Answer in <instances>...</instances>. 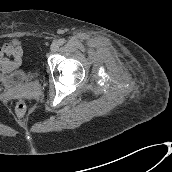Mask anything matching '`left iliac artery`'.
<instances>
[{
    "instance_id": "44dca946",
    "label": "left iliac artery",
    "mask_w": 172,
    "mask_h": 172,
    "mask_svg": "<svg viewBox=\"0 0 172 172\" xmlns=\"http://www.w3.org/2000/svg\"><path fill=\"white\" fill-rule=\"evenodd\" d=\"M58 43H59V45H63L65 43V40L64 39H59Z\"/></svg>"
}]
</instances>
